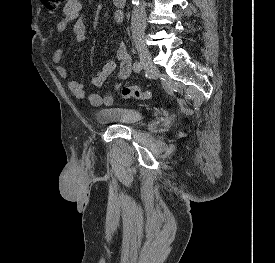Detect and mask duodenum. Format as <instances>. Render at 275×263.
Instances as JSON below:
<instances>
[{
    "label": "duodenum",
    "mask_w": 275,
    "mask_h": 263,
    "mask_svg": "<svg viewBox=\"0 0 275 263\" xmlns=\"http://www.w3.org/2000/svg\"><path fill=\"white\" fill-rule=\"evenodd\" d=\"M114 4L118 7H125L127 0H113Z\"/></svg>",
    "instance_id": "duodenum-1"
}]
</instances>
